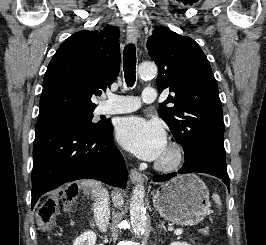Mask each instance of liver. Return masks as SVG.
Instances as JSON below:
<instances>
[{"label":"liver","mask_w":266,"mask_h":245,"mask_svg":"<svg viewBox=\"0 0 266 245\" xmlns=\"http://www.w3.org/2000/svg\"><path fill=\"white\" fill-rule=\"evenodd\" d=\"M80 185H83V187H89L91 193L93 195H96V193H99L102 185L99 183V181H80ZM112 201L115 205V207H122L124 201L122 197V193H113L112 195Z\"/></svg>","instance_id":"obj_1"}]
</instances>
